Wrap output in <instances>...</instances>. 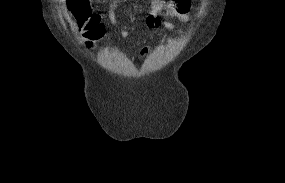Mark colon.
<instances>
[{"instance_id": "obj_1", "label": "colon", "mask_w": 285, "mask_h": 183, "mask_svg": "<svg viewBox=\"0 0 285 183\" xmlns=\"http://www.w3.org/2000/svg\"><path fill=\"white\" fill-rule=\"evenodd\" d=\"M177 3V9L187 12L189 7L181 5L187 0H174ZM69 9L76 19L79 30L84 36L85 43L92 46L99 41L104 35V27L97 14L91 11L89 0H68Z\"/></svg>"}]
</instances>
